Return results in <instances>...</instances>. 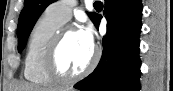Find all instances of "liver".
<instances>
[{
  "label": "liver",
  "mask_w": 173,
  "mask_h": 91,
  "mask_svg": "<svg viewBox=\"0 0 173 91\" xmlns=\"http://www.w3.org/2000/svg\"><path fill=\"white\" fill-rule=\"evenodd\" d=\"M14 91H55V90L39 88L32 84L24 83V84H20V85L16 86Z\"/></svg>",
  "instance_id": "liver-1"
}]
</instances>
